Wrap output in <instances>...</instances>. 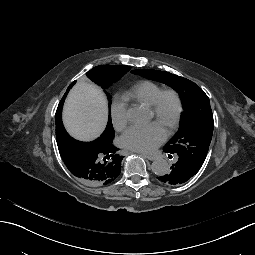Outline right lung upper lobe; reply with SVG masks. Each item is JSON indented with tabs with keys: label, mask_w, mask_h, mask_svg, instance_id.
Listing matches in <instances>:
<instances>
[{
	"label": "right lung upper lobe",
	"mask_w": 255,
	"mask_h": 255,
	"mask_svg": "<svg viewBox=\"0 0 255 255\" xmlns=\"http://www.w3.org/2000/svg\"><path fill=\"white\" fill-rule=\"evenodd\" d=\"M72 83L64 94L62 100L59 103L55 114V123H56V140L60 155L69 169V171L79 178V157L83 153L87 155L97 154L100 156V174L97 180H92L91 178L88 181H82L84 183L90 185H107L112 183L117 179L120 175L121 171V161L123 156H121L118 152V148H116L112 144V140L114 138V129L112 123H109L106 127V130L103 134L94 140L93 142H81L73 139L66 132L65 128L62 124V107L64 103V99L73 86ZM77 143H87L89 145V150L87 152H82L81 150H77L75 145Z\"/></svg>",
	"instance_id": "cb5924a9"
}]
</instances>
